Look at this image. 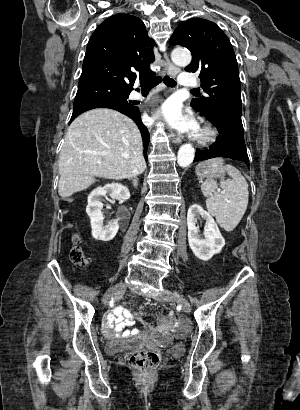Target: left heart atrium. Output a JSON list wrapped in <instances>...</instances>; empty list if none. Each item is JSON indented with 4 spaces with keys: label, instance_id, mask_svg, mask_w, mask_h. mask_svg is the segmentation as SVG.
Returning a JSON list of instances; mask_svg holds the SVG:
<instances>
[{
    "label": "left heart atrium",
    "instance_id": "1",
    "mask_svg": "<svg viewBox=\"0 0 300 410\" xmlns=\"http://www.w3.org/2000/svg\"><path fill=\"white\" fill-rule=\"evenodd\" d=\"M154 120L164 122L169 128L187 135H194L197 125L193 117L185 113L182 106L173 100L165 102L155 113Z\"/></svg>",
    "mask_w": 300,
    "mask_h": 410
}]
</instances>
